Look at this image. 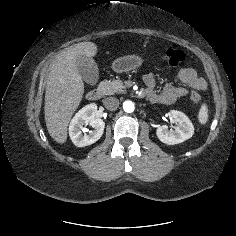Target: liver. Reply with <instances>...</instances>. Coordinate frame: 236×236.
I'll use <instances>...</instances> for the list:
<instances>
[{
    "label": "liver",
    "mask_w": 236,
    "mask_h": 236,
    "mask_svg": "<svg viewBox=\"0 0 236 236\" xmlns=\"http://www.w3.org/2000/svg\"><path fill=\"white\" fill-rule=\"evenodd\" d=\"M96 54V44L81 42L59 53L49 67L45 91V122L50 136L60 144L67 140L69 121L84 93L76 59L79 56L92 58Z\"/></svg>",
    "instance_id": "1"
}]
</instances>
